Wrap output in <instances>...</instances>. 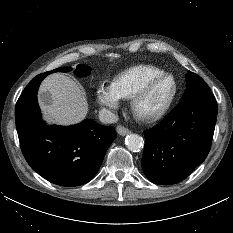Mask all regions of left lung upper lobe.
<instances>
[{
	"instance_id": "left-lung-upper-lobe-1",
	"label": "left lung upper lobe",
	"mask_w": 233,
	"mask_h": 233,
	"mask_svg": "<svg viewBox=\"0 0 233 233\" xmlns=\"http://www.w3.org/2000/svg\"><path fill=\"white\" fill-rule=\"evenodd\" d=\"M186 80H187V87L184 95L181 98V101L198 94L211 92L210 88L204 82V80L200 76H198L197 74L191 71L187 72Z\"/></svg>"
}]
</instances>
